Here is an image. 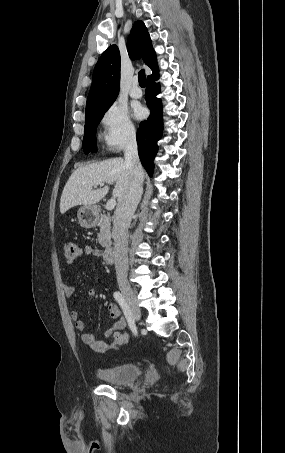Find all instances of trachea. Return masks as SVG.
I'll use <instances>...</instances> for the list:
<instances>
[{"instance_id":"obj_1","label":"trachea","mask_w":285,"mask_h":453,"mask_svg":"<svg viewBox=\"0 0 285 453\" xmlns=\"http://www.w3.org/2000/svg\"><path fill=\"white\" fill-rule=\"evenodd\" d=\"M138 80H139L140 86H146V75H145L144 70L139 71Z\"/></svg>"}]
</instances>
